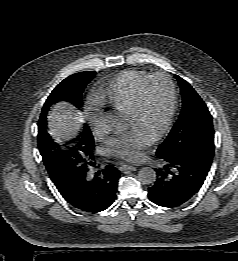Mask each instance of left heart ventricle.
<instances>
[{
	"instance_id": "left-heart-ventricle-1",
	"label": "left heart ventricle",
	"mask_w": 238,
	"mask_h": 261,
	"mask_svg": "<svg viewBox=\"0 0 238 261\" xmlns=\"http://www.w3.org/2000/svg\"><path fill=\"white\" fill-rule=\"evenodd\" d=\"M169 91L162 79L152 81L146 89L139 115L128 114V126L139 127L153 136L163 125L169 111Z\"/></svg>"
}]
</instances>
